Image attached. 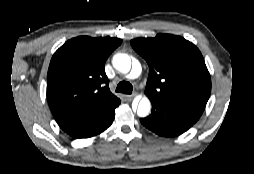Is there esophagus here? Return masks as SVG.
<instances>
[{"mask_svg": "<svg viewBox=\"0 0 254 174\" xmlns=\"http://www.w3.org/2000/svg\"><path fill=\"white\" fill-rule=\"evenodd\" d=\"M134 95H125V99L127 101H131L133 99Z\"/></svg>", "mask_w": 254, "mask_h": 174, "instance_id": "esophagus-1", "label": "esophagus"}]
</instances>
